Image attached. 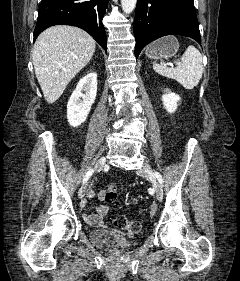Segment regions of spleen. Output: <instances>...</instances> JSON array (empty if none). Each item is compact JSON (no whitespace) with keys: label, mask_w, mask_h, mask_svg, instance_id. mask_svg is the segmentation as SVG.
Masks as SVG:
<instances>
[{"label":"spleen","mask_w":240,"mask_h":281,"mask_svg":"<svg viewBox=\"0 0 240 281\" xmlns=\"http://www.w3.org/2000/svg\"><path fill=\"white\" fill-rule=\"evenodd\" d=\"M175 67H167L166 64H153L156 73L179 82L185 89L191 90L196 87L202 78L204 67L200 51L190 45L175 61Z\"/></svg>","instance_id":"3e777b00"}]
</instances>
